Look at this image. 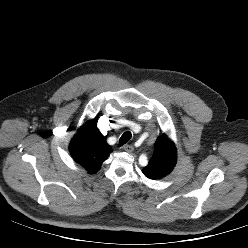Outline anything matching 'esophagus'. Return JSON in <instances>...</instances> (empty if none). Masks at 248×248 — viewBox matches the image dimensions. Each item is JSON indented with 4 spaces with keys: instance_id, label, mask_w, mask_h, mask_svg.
I'll list each match as a JSON object with an SVG mask.
<instances>
[{
    "instance_id": "34e87169",
    "label": "esophagus",
    "mask_w": 248,
    "mask_h": 248,
    "mask_svg": "<svg viewBox=\"0 0 248 248\" xmlns=\"http://www.w3.org/2000/svg\"><path fill=\"white\" fill-rule=\"evenodd\" d=\"M122 149H123L124 151H126V152H129V153L133 152V150H134V148H133L132 145H124V146L122 147Z\"/></svg>"
}]
</instances>
